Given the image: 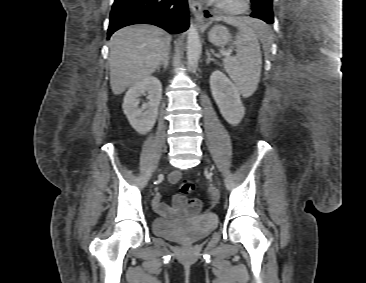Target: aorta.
<instances>
[{
	"instance_id": "obj_1",
	"label": "aorta",
	"mask_w": 366,
	"mask_h": 283,
	"mask_svg": "<svg viewBox=\"0 0 366 283\" xmlns=\"http://www.w3.org/2000/svg\"><path fill=\"white\" fill-rule=\"evenodd\" d=\"M201 54L200 37L197 27L191 23L187 36V63L189 67H194Z\"/></svg>"
}]
</instances>
